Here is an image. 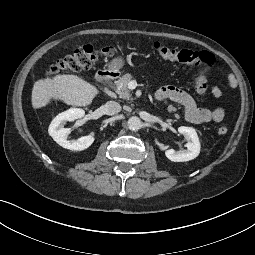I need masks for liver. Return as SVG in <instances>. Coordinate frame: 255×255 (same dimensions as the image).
I'll use <instances>...</instances> for the list:
<instances>
[{
    "label": "liver",
    "mask_w": 255,
    "mask_h": 255,
    "mask_svg": "<svg viewBox=\"0 0 255 255\" xmlns=\"http://www.w3.org/2000/svg\"><path fill=\"white\" fill-rule=\"evenodd\" d=\"M99 90L76 75H56L53 78L35 81L31 103L33 109L47 106L51 100L62 101L72 106L90 105Z\"/></svg>",
    "instance_id": "liver-1"
}]
</instances>
